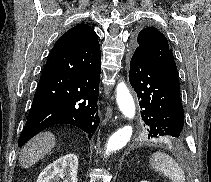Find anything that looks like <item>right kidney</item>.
<instances>
[{
	"mask_svg": "<svg viewBox=\"0 0 211 182\" xmlns=\"http://www.w3.org/2000/svg\"><path fill=\"white\" fill-rule=\"evenodd\" d=\"M77 170L78 157L75 154H67L46 166L37 182H78Z\"/></svg>",
	"mask_w": 211,
	"mask_h": 182,
	"instance_id": "1",
	"label": "right kidney"
}]
</instances>
